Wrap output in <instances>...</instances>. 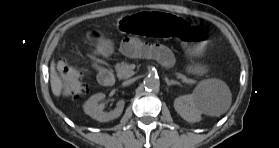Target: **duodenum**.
<instances>
[{"label":"duodenum","instance_id":"1","mask_svg":"<svg viewBox=\"0 0 279 148\" xmlns=\"http://www.w3.org/2000/svg\"><path fill=\"white\" fill-rule=\"evenodd\" d=\"M96 66L99 70L100 80L108 86H113L115 80H114L112 74L109 72V70L102 67V65L100 63H96Z\"/></svg>","mask_w":279,"mask_h":148}]
</instances>
